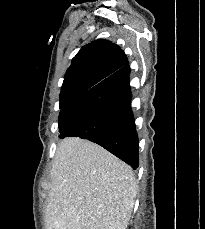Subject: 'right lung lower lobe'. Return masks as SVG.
<instances>
[{"instance_id": "obj_1", "label": "right lung lower lobe", "mask_w": 205, "mask_h": 229, "mask_svg": "<svg viewBox=\"0 0 205 229\" xmlns=\"http://www.w3.org/2000/svg\"><path fill=\"white\" fill-rule=\"evenodd\" d=\"M128 61L60 111V138L95 142L128 163L139 165L138 136L131 110Z\"/></svg>"}]
</instances>
